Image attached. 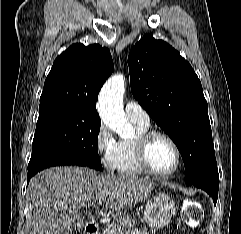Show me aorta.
I'll return each instance as SVG.
<instances>
[{
    "mask_svg": "<svg viewBox=\"0 0 241 234\" xmlns=\"http://www.w3.org/2000/svg\"><path fill=\"white\" fill-rule=\"evenodd\" d=\"M125 79L122 74L113 75L103 85L98 97L100 118L111 130L121 138H130L135 130L126 119L123 110Z\"/></svg>",
    "mask_w": 241,
    "mask_h": 234,
    "instance_id": "1",
    "label": "aorta"
}]
</instances>
